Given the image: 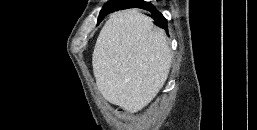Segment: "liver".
<instances>
[{
    "label": "liver",
    "instance_id": "6515ba94",
    "mask_svg": "<svg viewBox=\"0 0 257 130\" xmlns=\"http://www.w3.org/2000/svg\"><path fill=\"white\" fill-rule=\"evenodd\" d=\"M171 50L163 29L136 9L112 14L97 38L93 73L101 95L129 112H138L167 80Z\"/></svg>",
    "mask_w": 257,
    "mask_h": 130
}]
</instances>
